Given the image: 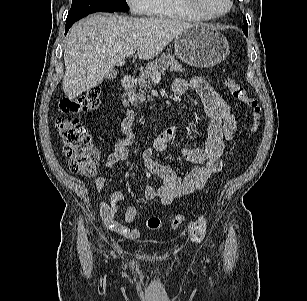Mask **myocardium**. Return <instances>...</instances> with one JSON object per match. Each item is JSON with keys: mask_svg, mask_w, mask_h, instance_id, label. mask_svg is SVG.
I'll list each match as a JSON object with an SVG mask.
<instances>
[{"mask_svg": "<svg viewBox=\"0 0 307 301\" xmlns=\"http://www.w3.org/2000/svg\"><path fill=\"white\" fill-rule=\"evenodd\" d=\"M182 5L192 14L205 18V19H217L227 15L233 8V0L228 1V7L222 12H214L201 4L199 0H179Z\"/></svg>", "mask_w": 307, "mask_h": 301, "instance_id": "myocardium-1", "label": "myocardium"}]
</instances>
